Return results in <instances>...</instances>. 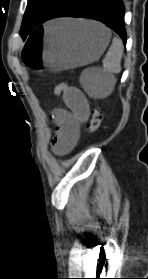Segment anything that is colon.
<instances>
[{"instance_id": "colon-1", "label": "colon", "mask_w": 148, "mask_h": 279, "mask_svg": "<svg viewBox=\"0 0 148 279\" xmlns=\"http://www.w3.org/2000/svg\"><path fill=\"white\" fill-rule=\"evenodd\" d=\"M67 89H68V85L66 83H59L54 87V94L62 95L66 92ZM101 121H102L101 111L97 107L93 108L91 112V116L87 121V127L90 133H95L99 129L101 125Z\"/></svg>"}]
</instances>
